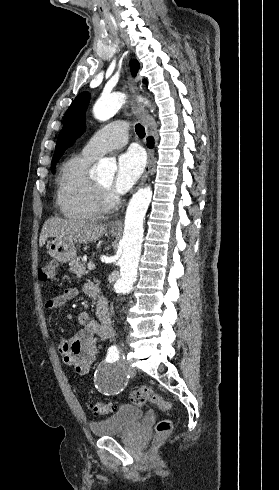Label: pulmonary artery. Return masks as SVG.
Returning a JSON list of instances; mask_svg holds the SVG:
<instances>
[{
  "mask_svg": "<svg viewBox=\"0 0 279 490\" xmlns=\"http://www.w3.org/2000/svg\"><path fill=\"white\" fill-rule=\"evenodd\" d=\"M124 117H115L114 123L97 130L82 149V154L90 159H97L109 150L120 148L127 144V131L123 127Z\"/></svg>",
  "mask_w": 279,
  "mask_h": 490,
  "instance_id": "1",
  "label": "pulmonary artery"
}]
</instances>
